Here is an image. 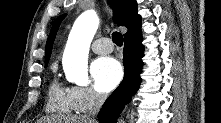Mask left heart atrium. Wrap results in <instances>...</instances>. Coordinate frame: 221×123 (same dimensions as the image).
<instances>
[{
    "mask_svg": "<svg viewBox=\"0 0 221 123\" xmlns=\"http://www.w3.org/2000/svg\"><path fill=\"white\" fill-rule=\"evenodd\" d=\"M91 74L96 87L102 92H108L121 81L123 70L118 60L107 56L100 57L92 63Z\"/></svg>",
    "mask_w": 221,
    "mask_h": 123,
    "instance_id": "obj_1",
    "label": "left heart atrium"
}]
</instances>
